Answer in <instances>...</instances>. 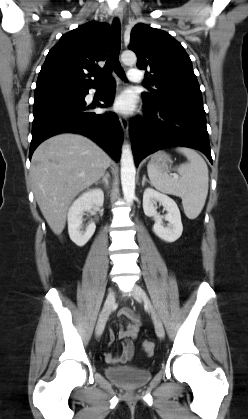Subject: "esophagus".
<instances>
[{"label":"esophagus","instance_id":"34e87169","mask_svg":"<svg viewBox=\"0 0 248 419\" xmlns=\"http://www.w3.org/2000/svg\"><path fill=\"white\" fill-rule=\"evenodd\" d=\"M113 15L119 19H122L123 17V10L120 7H117L113 11ZM119 121L121 123V126L126 134H128L129 129V121L125 116L119 115Z\"/></svg>","mask_w":248,"mask_h":419}]
</instances>
